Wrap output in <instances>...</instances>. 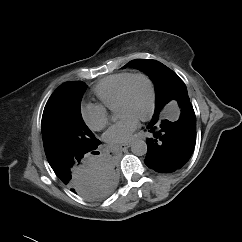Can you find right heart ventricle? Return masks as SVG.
<instances>
[{"label":"right heart ventricle","mask_w":242,"mask_h":242,"mask_svg":"<svg viewBox=\"0 0 242 242\" xmlns=\"http://www.w3.org/2000/svg\"><path fill=\"white\" fill-rule=\"evenodd\" d=\"M131 72H120L105 77L93 87V94L98 98L101 105L108 109H115L121 89Z\"/></svg>","instance_id":"obj_1"}]
</instances>
